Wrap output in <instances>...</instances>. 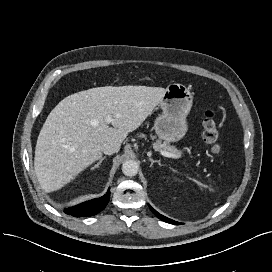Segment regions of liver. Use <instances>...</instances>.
Masks as SVG:
<instances>
[{
  "mask_svg": "<svg viewBox=\"0 0 272 272\" xmlns=\"http://www.w3.org/2000/svg\"><path fill=\"white\" fill-rule=\"evenodd\" d=\"M166 89L105 86L80 91L60 101L37 139L34 170L46 191L60 189L102 156L101 146L119 149L162 100ZM110 116L113 127L106 118Z\"/></svg>",
  "mask_w": 272,
  "mask_h": 272,
  "instance_id": "6515ba94",
  "label": "liver"
}]
</instances>
